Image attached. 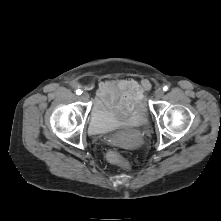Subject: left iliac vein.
<instances>
[{"instance_id":"left-iliac-vein-1","label":"left iliac vein","mask_w":221,"mask_h":221,"mask_svg":"<svg viewBox=\"0 0 221 221\" xmlns=\"http://www.w3.org/2000/svg\"><path fill=\"white\" fill-rule=\"evenodd\" d=\"M163 95H164V91H163L162 89H158V90L155 92V98H156V99L162 98Z\"/></svg>"}]
</instances>
